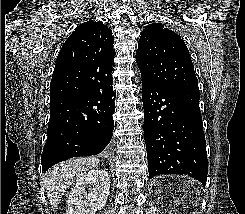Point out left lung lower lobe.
Wrapping results in <instances>:
<instances>
[{"label": "left lung lower lobe", "instance_id": "0a47b994", "mask_svg": "<svg viewBox=\"0 0 245 214\" xmlns=\"http://www.w3.org/2000/svg\"><path fill=\"white\" fill-rule=\"evenodd\" d=\"M142 99L149 177L183 174L204 185L208 159L199 90L142 78Z\"/></svg>", "mask_w": 245, "mask_h": 214}]
</instances>
